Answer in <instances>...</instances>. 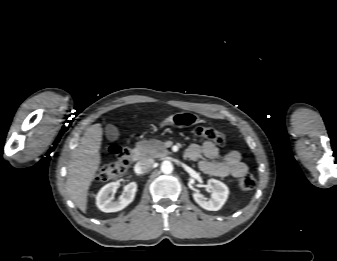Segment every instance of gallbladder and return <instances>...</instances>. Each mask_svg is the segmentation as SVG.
<instances>
[{"label":"gallbladder","instance_id":"1","mask_svg":"<svg viewBox=\"0 0 337 261\" xmlns=\"http://www.w3.org/2000/svg\"><path fill=\"white\" fill-rule=\"evenodd\" d=\"M105 135L109 141H115L119 137V131L115 126L108 124L105 127Z\"/></svg>","mask_w":337,"mask_h":261}]
</instances>
